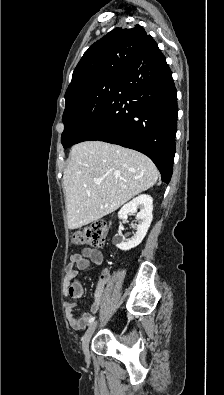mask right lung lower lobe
Wrapping results in <instances>:
<instances>
[{"label":"right lung lower lobe","instance_id":"98d812e1","mask_svg":"<svg viewBox=\"0 0 224 395\" xmlns=\"http://www.w3.org/2000/svg\"><path fill=\"white\" fill-rule=\"evenodd\" d=\"M176 94L166 58L149 37L77 143L99 140L137 150L155 163L168 183L176 150Z\"/></svg>","mask_w":224,"mask_h":395}]
</instances>
